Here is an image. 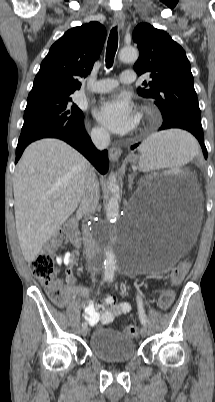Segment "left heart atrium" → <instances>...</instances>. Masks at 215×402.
<instances>
[{
    "label": "left heart atrium",
    "mask_w": 215,
    "mask_h": 402,
    "mask_svg": "<svg viewBox=\"0 0 215 402\" xmlns=\"http://www.w3.org/2000/svg\"><path fill=\"white\" fill-rule=\"evenodd\" d=\"M95 115L103 125L116 134L132 131L139 120L132 102L125 95H116L104 100Z\"/></svg>",
    "instance_id": "1"
}]
</instances>
